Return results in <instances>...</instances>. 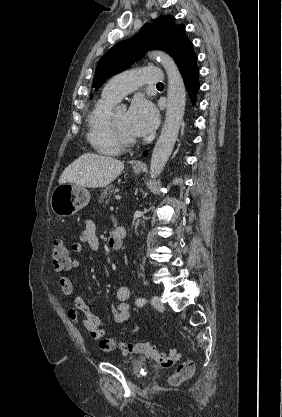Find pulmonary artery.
I'll use <instances>...</instances> for the list:
<instances>
[{
    "label": "pulmonary artery",
    "instance_id": "pulmonary-artery-1",
    "mask_svg": "<svg viewBox=\"0 0 282 417\" xmlns=\"http://www.w3.org/2000/svg\"><path fill=\"white\" fill-rule=\"evenodd\" d=\"M161 65H142L140 70H128L113 77L105 86L103 96L115 101L145 83H163L165 76Z\"/></svg>",
    "mask_w": 282,
    "mask_h": 417
}]
</instances>
